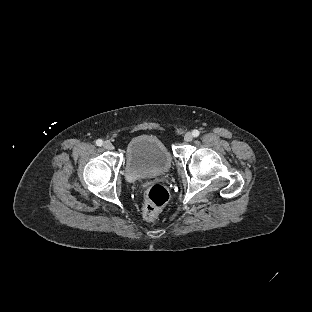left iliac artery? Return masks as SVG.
<instances>
[{
    "label": "left iliac artery",
    "instance_id": "44dca946",
    "mask_svg": "<svg viewBox=\"0 0 312 312\" xmlns=\"http://www.w3.org/2000/svg\"><path fill=\"white\" fill-rule=\"evenodd\" d=\"M199 131L198 130H193V132H192V135L194 136V137H198L199 136Z\"/></svg>",
    "mask_w": 312,
    "mask_h": 312
}]
</instances>
